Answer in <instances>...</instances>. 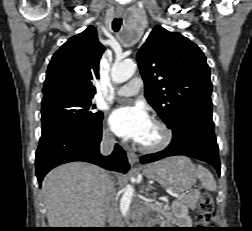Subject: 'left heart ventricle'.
<instances>
[{"label": "left heart ventricle", "instance_id": "obj_1", "mask_svg": "<svg viewBox=\"0 0 252 231\" xmlns=\"http://www.w3.org/2000/svg\"><path fill=\"white\" fill-rule=\"evenodd\" d=\"M162 138V134L160 129L155 125L151 124L149 130L147 131L146 135L142 139L140 143L145 145H154L158 143Z\"/></svg>", "mask_w": 252, "mask_h": 231}]
</instances>
